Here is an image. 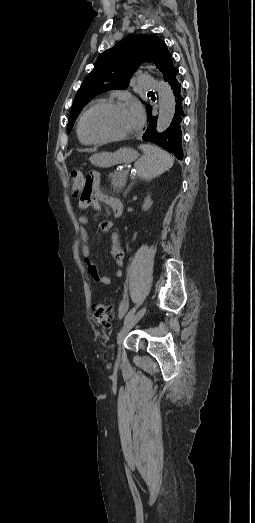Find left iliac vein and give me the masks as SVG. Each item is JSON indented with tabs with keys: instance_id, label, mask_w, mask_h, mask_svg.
<instances>
[{
	"instance_id": "obj_1",
	"label": "left iliac vein",
	"mask_w": 255,
	"mask_h": 523,
	"mask_svg": "<svg viewBox=\"0 0 255 523\" xmlns=\"http://www.w3.org/2000/svg\"><path fill=\"white\" fill-rule=\"evenodd\" d=\"M146 312V307L140 309L134 316H132L122 327L117 336L118 352L120 353V346L127 335V333L133 328V326L143 317Z\"/></svg>"
}]
</instances>
